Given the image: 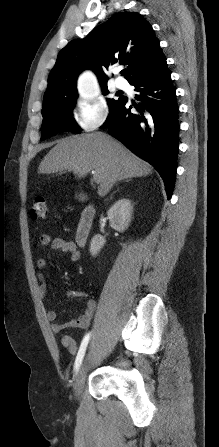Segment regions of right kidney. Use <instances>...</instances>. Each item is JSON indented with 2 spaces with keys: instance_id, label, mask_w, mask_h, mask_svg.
<instances>
[{
  "instance_id": "1",
  "label": "right kidney",
  "mask_w": 219,
  "mask_h": 447,
  "mask_svg": "<svg viewBox=\"0 0 219 447\" xmlns=\"http://www.w3.org/2000/svg\"><path fill=\"white\" fill-rule=\"evenodd\" d=\"M132 209L131 201L128 199H120L115 202L107 211L110 226L116 231H125L131 221ZM105 242L106 240L102 235H94L90 242L91 255L96 256Z\"/></svg>"
}]
</instances>
